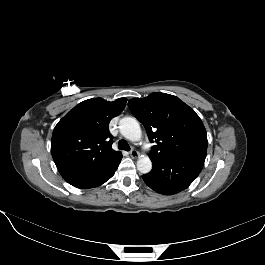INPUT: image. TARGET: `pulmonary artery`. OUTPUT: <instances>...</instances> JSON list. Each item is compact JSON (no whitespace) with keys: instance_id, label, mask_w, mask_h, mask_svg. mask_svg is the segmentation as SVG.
Listing matches in <instances>:
<instances>
[{"instance_id":"e3ab8cb5","label":"pulmonary artery","mask_w":265,"mask_h":265,"mask_svg":"<svg viewBox=\"0 0 265 265\" xmlns=\"http://www.w3.org/2000/svg\"><path fill=\"white\" fill-rule=\"evenodd\" d=\"M142 146L145 148L146 147V144H143Z\"/></svg>"}]
</instances>
